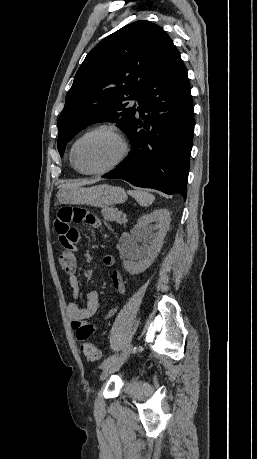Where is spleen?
<instances>
[{"mask_svg": "<svg viewBox=\"0 0 257 459\" xmlns=\"http://www.w3.org/2000/svg\"><path fill=\"white\" fill-rule=\"evenodd\" d=\"M141 206H149L155 200L154 195L143 190H131L128 192Z\"/></svg>", "mask_w": 257, "mask_h": 459, "instance_id": "1", "label": "spleen"}]
</instances>
